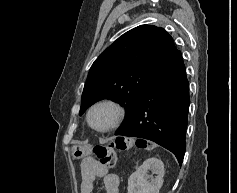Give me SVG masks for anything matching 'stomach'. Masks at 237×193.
Masks as SVG:
<instances>
[{
    "instance_id": "0dacf381",
    "label": "stomach",
    "mask_w": 237,
    "mask_h": 193,
    "mask_svg": "<svg viewBox=\"0 0 237 193\" xmlns=\"http://www.w3.org/2000/svg\"><path fill=\"white\" fill-rule=\"evenodd\" d=\"M90 148L86 145H74L71 148L73 159H80L88 155Z\"/></svg>"
}]
</instances>
